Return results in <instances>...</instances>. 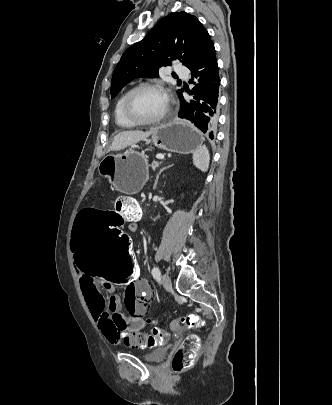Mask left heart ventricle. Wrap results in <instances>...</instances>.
<instances>
[{
	"label": "left heart ventricle",
	"instance_id": "obj_1",
	"mask_svg": "<svg viewBox=\"0 0 332 405\" xmlns=\"http://www.w3.org/2000/svg\"><path fill=\"white\" fill-rule=\"evenodd\" d=\"M167 99L157 90L145 89L139 91L132 98L130 109L133 115L139 119H153L165 112Z\"/></svg>",
	"mask_w": 332,
	"mask_h": 405
}]
</instances>
